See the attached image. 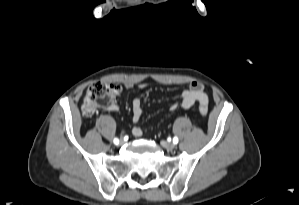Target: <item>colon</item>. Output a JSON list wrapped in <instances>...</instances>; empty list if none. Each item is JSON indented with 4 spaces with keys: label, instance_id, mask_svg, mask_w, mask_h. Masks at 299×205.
<instances>
[{
    "label": "colon",
    "instance_id": "5ec220e1",
    "mask_svg": "<svg viewBox=\"0 0 299 205\" xmlns=\"http://www.w3.org/2000/svg\"><path fill=\"white\" fill-rule=\"evenodd\" d=\"M122 87L118 84L107 82H95L87 89L82 111L86 116H93L100 108H108L113 105L120 95ZM201 115L207 116L208 108L204 104L199 105Z\"/></svg>",
    "mask_w": 299,
    "mask_h": 205
}]
</instances>
